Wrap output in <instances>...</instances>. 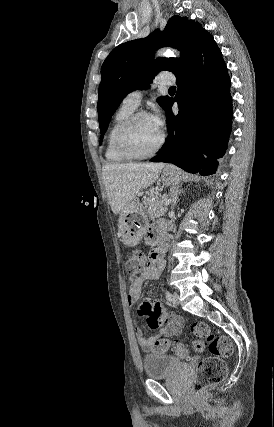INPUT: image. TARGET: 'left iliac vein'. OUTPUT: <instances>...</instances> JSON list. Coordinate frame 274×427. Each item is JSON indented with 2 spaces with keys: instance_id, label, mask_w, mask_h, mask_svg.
Masks as SVG:
<instances>
[{
  "instance_id": "left-iliac-vein-1",
  "label": "left iliac vein",
  "mask_w": 274,
  "mask_h": 427,
  "mask_svg": "<svg viewBox=\"0 0 274 427\" xmlns=\"http://www.w3.org/2000/svg\"><path fill=\"white\" fill-rule=\"evenodd\" d=\"M172 302L174 305H179V294L174 292L172 294Z\"/></svg>"
}]
</instances>
